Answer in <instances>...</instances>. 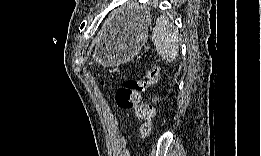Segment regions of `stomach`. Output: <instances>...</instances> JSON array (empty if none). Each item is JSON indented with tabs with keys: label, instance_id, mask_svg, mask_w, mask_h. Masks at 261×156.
Instances as JSON below:
<instances>
[{
	"label": "stomach",
	"instance_id": "0dacf381",
	"mask_svg": "<svg viewBox=\"0 0 261 156\" xmlns=\"http://www.w3.org/2000/svg\"><path fill=\"white\" fill-rule=\"evenodd\" d=\"M150 23V16L143 15L133 19L122 29L114 31L98 48V62L116 65L135 56L146 40Z\"/></svg>",
	"mask_w": 261,
	"mask_h": 156
}]
</instances>
